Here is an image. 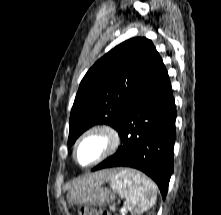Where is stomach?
<instances>
[{"label":"stomach","instance_id":"0dacf381","mask_svg":"<svg viewBox=\"0 0 221 215\" xmlns=\"http://www.w3.org/2000/svg\"><path fill=\"white\" fill-rule=\"evenodd\" d=\"M114 199L115 194L102 185L73 189L67 194V201L71 206H105L111 204Z\"/></svg>","mask_w":221,"mask_h":215}]
</instances>
